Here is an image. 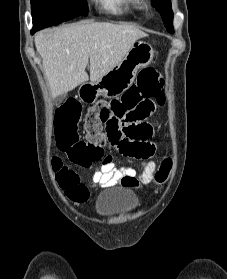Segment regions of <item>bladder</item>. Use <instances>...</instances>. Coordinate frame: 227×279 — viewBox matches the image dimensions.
<instances>
[{"mask_svg":"<svg viewBox=\"0 0 227 279\" xmlns=\"http://www.w3.org/2000/svg\"><path fill=\"white\" fill-rule=\"evenodd\" d=\"M139 205L137 196L127 189L116 188L101 192L96 200L95 213L101 217H112L132 212Z\"/></svg>","mask_w":227,"mask_h":279,"instance_id":"31cf9c89","label":"bladder"}]
</instances>
